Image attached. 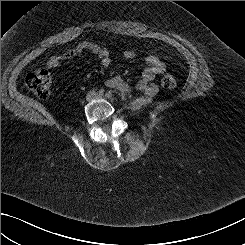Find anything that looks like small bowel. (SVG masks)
<instances>
[{"instance_id":"1","label":"small bowel","mask_w":245,"mask_h":245,"mask_svg":"<svg viewBox=\"0 0 245 245\" xmlns=\"http://www.w3.org/2000/svg\"><path fill=\"white\" fill-rule=\"evenodd\" d=\"M85 51L94 55L102 66L108 67L111 64L110 52L91 41L80 42L76 47L66 52L53 55L47 64L50 68L58 67L64 63L73 65V60L79 58ZM122 57L125 60H132L136 57V53L127 50L122 54ZM145 63L146 67L142 70L141 78L137 82L129 83L120 76H114L106 81V86L122 93L140 91L149 97L156 95L158 87L153 80L164 73L165 64L156 55H148L145 58Z\"/></svg>"}]
</instances>
